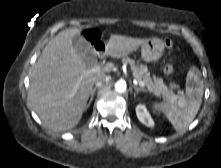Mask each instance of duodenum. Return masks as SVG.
I'll use <instances>...</instances> for the list:
<instances>
[{"label": "duodenum", "mask_w": 221, "mask_h": 168, "mask_svg": "<svg viewBox=\"0 0 221 168\" xmlns=\"http://www.w3.org/2000/svg\"><path fill=\"white\" fill-rule=\"evenodd\" d=\"M94 50H95V53L97 54V56L102 57L106 51L105 44L101 41L95 42Z\"/></svg>", "instance_id": "duodenum-1"}]
</instances>
